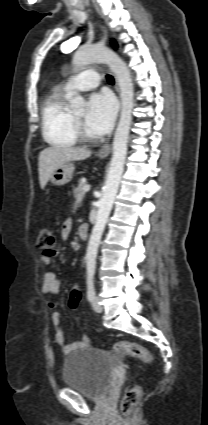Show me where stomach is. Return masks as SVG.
I'll return each mask as SVG.
<instances>
[{
    "label": "stomach",
    "mask_w": 208,
    "mask_h": 425,
    "mask_svg": "<svg viewBox=\"0 0 208 425\" xmlns=\"http://www.w3.org/2000/svg\"><path fill=\"white\" fill-rule=\"evenodd\" d=\"M75 167L73 163L61 164L51 175L50 181L53 185L62 186L69 183L73 178Z\"/></svg>",
    "instance_id": "obj_1"
}]
</instances>
